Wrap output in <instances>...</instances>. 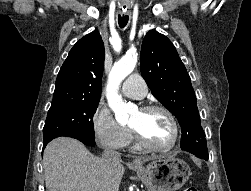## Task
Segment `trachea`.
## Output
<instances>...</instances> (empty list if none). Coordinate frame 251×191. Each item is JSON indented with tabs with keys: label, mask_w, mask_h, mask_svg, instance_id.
I'll return each mask as SVG.
<instances>
[{
	"label": "trachea",
	"mask_w": 251,
	"mask_h": 191,
	"mask_svg": "<svg viewBox=\"0 0 251 191\" xmlns=\"http://www.w3.org/2000/svg\"><path fill=\"white\" fill-rule=\"evenodd\" d=\"M128 20H129L128 15H123V16L118 15V23L121 28H124L127 25Z\"/></svg>",
	"instance_id": "3493384b"
}]
</instances>
